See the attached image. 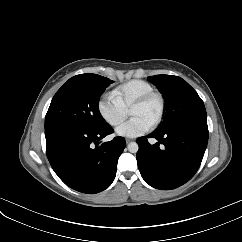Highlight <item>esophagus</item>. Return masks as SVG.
Listing matches in <instances>:
<instances>
[{"label": "esophagus", "mask_w": 242, "mask_h": 242, "mask_svg": "<svg viewBox=\"0 0 242 242\" xmlns=\"http://www.w3.org/2000/svg\"><path fill=\"white\" fill-rule=\"evenodd\" d=\"M129 142H131V139H126V143H129Z\"/></svg>", "instance_id": "34e87169"}]
</instances>
